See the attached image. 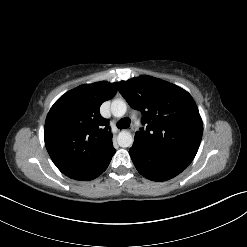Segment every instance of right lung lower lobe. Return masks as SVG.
<instances>
[{"label": "right lung lower lobe", "instance_id": "1", "mask_svg": "<svg viewBox=\"0 0 247 247\" xmlns=\"http://www.w3.org/2000/svg\"><path fill=\"white\" fill-rule=\"evenodd\" d=\"M115 153V149L113 148L98 164H96L93 168L89 169L88 171L70 177L73 178L75 180H83V181H87V180H92L96 177H98L100 174H102L106 168L108 167L112 156Z\"/></svg>", "mask_w": 247, "mask_h": 247}]
</instances>
